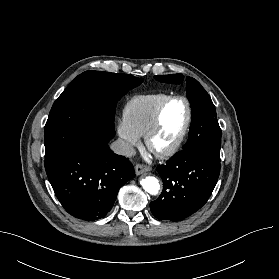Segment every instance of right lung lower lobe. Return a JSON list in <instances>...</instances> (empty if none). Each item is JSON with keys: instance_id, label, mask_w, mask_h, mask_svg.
Listing matches in <instances>:
<instances>
[{"instance_id": "98d812e1", "label": "right lung lower lobe", "mask_w": 279, "mask_h": 279, "mask_svg": "<svg viewBox=\"0 0 279 279\" xmlns=\"http://www.w3.org/2000/svg\"><path fill=\"white\" fill-rule=\"evenodd\" d=\"M114 130L106 126L86 128L81 142L70 148L48 173L55 195L74 217L94 221L106 216L118 191L134 176L128 158L108 146Z\"/></svg>"}]
</instances>
